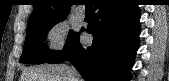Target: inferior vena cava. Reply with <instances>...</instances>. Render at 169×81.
<instances>
[{"mask_svg": "<svg viewBox=\"0 0 169 81\" xmlns=\"http://www.w3.org/2000/svg\"><path fill=\"white\" fill-rule=\"evenodd\" d=\"M69 75H70L71 81H79L80 80V75L74 66H71L69 68Z\"/></svg>", "mask_w": 169, "mask_h": 81, "instance_id": "1", "label": "inferior vena cava"}]
</instances>
